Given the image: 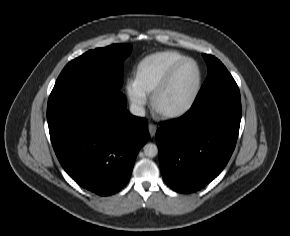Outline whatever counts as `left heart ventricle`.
Segmentation results:
<instances>
[{
	"label": "left heart ventricle",
	"mask_w": 290,
	"mask_h": 236,
	"mask_svg": "<svg viewBox=\"0 0 290 236\" xmlns=\"http://www.w3.org/2000/svg\"><path fill=\"white\" fill-rule=\"evenodd\" d=\"M197 81V70L193 63H185L174 74L169 86L160 95L158 106L174 110L183 106L191 97Z\"/></svg>",
	"instance_id": "obj_1"
}]
</instances>
